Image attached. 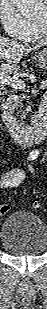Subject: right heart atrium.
I'll return each mask as SVG.
<instances>
[{"label": "right heart atrium", "instance_id": "1", "mask_svg": "<svg viewBox=\"0 0 47 309\" xmlns=\"http://www.w3.org/2000/svg\"><path fill=\"white\" fill-rule=\"evenodd\" d=\"M0 20L12 39L25 41L31 32L32 23L21 14L12 0H0Z\"/></svg>", "mask_w": 47, "mask_h": 309}]
</instances>
